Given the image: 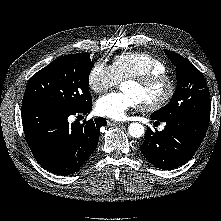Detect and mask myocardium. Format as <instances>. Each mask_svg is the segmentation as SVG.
Masks as SVG:
<instances>
[{"instance_id": "1", "label": "myocardium", "mask_w": 221, "mask_h": 221, "mask_svg": "<svg viewBox=\"0 0 221 221\" xmlns=\"http://www.w3.org/2000/svg\"><path fill=\"white\" fill-rule=\"evenodd\" d=\"M128 82H133L139 87L146 88L157 83H164L166 85L165 94L156 102L150 104H138V108L144 112H155L166 106L175 94L176 84L174 79L167 73H154L143 76L130 77Z\"/></svg>"}]
</instances>
